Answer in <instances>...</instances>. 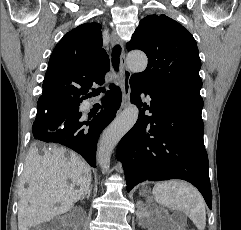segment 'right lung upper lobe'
<instances>
[{"label": "right lung upper lobe", "instance_id": "right-lung-upper-lobe-1", "mask_svg": "<svg viewBox=\"0 0 241 230\" xmlns=\"http://www.w3.org/2000/svg\"><path fill=\"white\" fill-rule=\"evenodd\" d=\"M109 57L102 48L101 25L82 24L66 33L54 48L38 104L80 102L93 85L105 83Z\"/></svg>", "mask_w": 241, "mask_h": 230}]
</instances>
